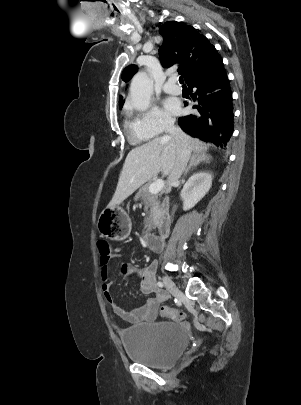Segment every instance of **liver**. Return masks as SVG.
I'll return each instance as SVG.
<instances>
[{"label": "liver", "instance_id": "6515ba94", "mask_svg": "<svg viewBox=\"0 0 301 405\" xmlns=\"http://www.w3.org/2000/svg\"><path fill=\"white\" fill-rule=\"evenodd\" d=\"M184 135L190 152L205 153L207 151L208 144ZM176 155V141L169 135L154 138L150 142L132 149L125 159L115 194L108 207L113 208L121 204L140 186L157 176L160 171L164 175H168L174 165Z\"/></svg>", "mask_w": 301, "mask_h": 405}]
</instances>
